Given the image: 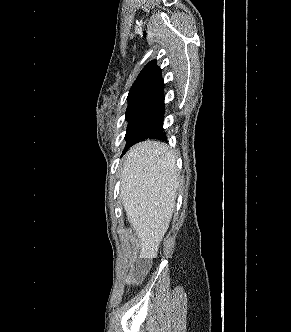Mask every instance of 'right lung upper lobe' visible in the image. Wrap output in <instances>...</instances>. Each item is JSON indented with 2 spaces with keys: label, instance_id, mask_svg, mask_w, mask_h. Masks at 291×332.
Returning <instances> with one entry per match:
<instances>
[{
  "label": "right lung upper lobe",
  "instance_id": "1",
  "mask_svg": "<svg viewBox=\"0 0 291 332\" xmlns=\"http://www.w3.org/2000/svg\"><path fill=\"white\" fill-rule=\"evenodd\" d=\"M163 86L161 69L156 65V60H152L142 69L133 83L128 94V99L137 97L147 98Z\"/></svg>",
  "mask_w": 291,
  "mask_h": 332
}]
</instances>
